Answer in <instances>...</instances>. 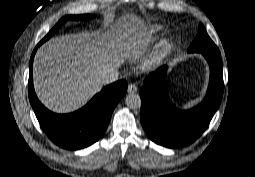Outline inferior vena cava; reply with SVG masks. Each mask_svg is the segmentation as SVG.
I'll use <instances>...</instances> for the list:
<instances>
[{
    "mask_svg": "<svg viewBox=\"0 0 255 177\" xmlns=\"http://www.w3.org/2000/svg\"><path fill=\"white\" fill-rule=\"evenodd\" d=\"M119 71L116 67H110L106 69L100 76V80L103 84H110L118 80Z\"/></svg>",
    "mask_w": 255,
    "mask_h": 177,
    "instance_id": "1",
    "label": "inferior vena cava"
}]
</instances>
